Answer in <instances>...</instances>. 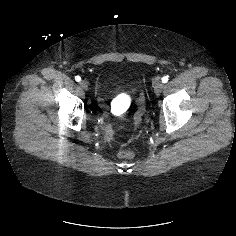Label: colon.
Instances as JSON below:
<instances>
[{
  "mask_svg": "<svg viewBox=\"0 0 236 236\" xmlns=\"http://www.w3.org/2000/svg\"><path fill=\"white\" fill-rule=\"evenodd\" d=\"M143 113H144V107H143L142 102L140 101L137 112L134 117V121H135L136 126H140ZM118 156L120 158H130L133 156V153L129 150H121V151H119Z\"/></svg>",
  "mask_w": 236,
  "mask_h": 236,
  "instance_id": "colon-1",
  "label": "colon"
}]
</instances>
